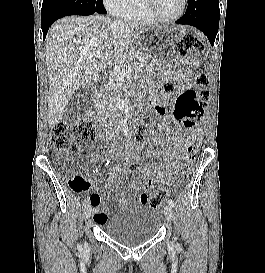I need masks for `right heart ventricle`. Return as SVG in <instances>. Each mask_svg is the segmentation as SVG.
<instances>
[{"label": "right heart ventricle", "mask_w": 265, "mask_h": 273, "mask_svg": "<svg viewBox=\"0 0 265 273\" xmlns=\"http://www.w3.org/2000/svg\"><path fill=\"white\" fill-rule=\"evenodd\" d=\"M121 16L142 24H154L144 8L143 0H132L131 5Z\"/></svg>", "instance_id": "1"}]
</instances>
